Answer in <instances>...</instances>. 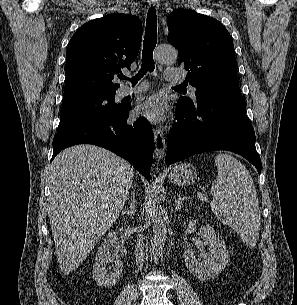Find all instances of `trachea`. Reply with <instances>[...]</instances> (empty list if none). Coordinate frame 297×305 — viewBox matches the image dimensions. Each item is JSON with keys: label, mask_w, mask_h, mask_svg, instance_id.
I'll return each mask as SVG.
<instances>
[{"label": "trachea", "mask_w": 297, "mask_h": 305, "mask_svg": "<svg viewBox=\"0 0 297 305\" xmlns=\"http://www.w3.org/2000/svg\"><path fill=\"white\" fill-rule=\"evenodd\" d=\"M157 42V17L156 10L151 7L147 14L145 37L143 41L142 65L139 73L129 79L125 76H120L121 79H129L132 84H136L148 71L153 72L155 69L153 60V51Z\"/></svg>", "instance_id": "3493384b"}]
</instances>
